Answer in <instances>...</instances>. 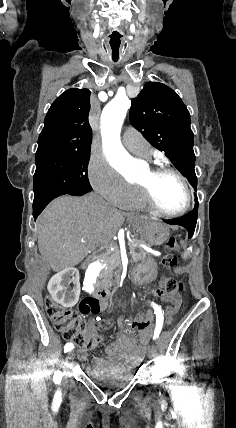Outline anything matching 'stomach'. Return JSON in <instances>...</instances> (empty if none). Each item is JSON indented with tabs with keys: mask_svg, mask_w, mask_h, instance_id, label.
I'll use <instances>...</instances> for the list:
<instances>
[{
	"mask_svg": "<svg viewBox=\"0 0 236 428\" xmlns=\"http://www.w3.org/2000/svg\"><path fill=\"white\" fill-rule=\"evenodd\" d=\"M142 234L144 242L150 246H161L170 236L169 228L160 220H151L142 226ZM158 265L153 257L145 258L138 265L133 266V274L129 275V282L135 286L142 285L146 287L152 283L154 276L157 275Z\"/></svg>",
	"mask_w": 236,
	"mask_h": 428,
	"instance_id": "stomach-1",
	"label": "stomach"
}]
</instances>
